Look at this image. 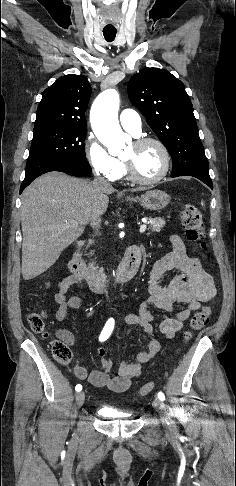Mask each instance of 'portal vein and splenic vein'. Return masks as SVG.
Listing matches in <instances>:
<instances>
[{
  "mask_svg": "<svg viewBox=\"0 0 236 486\" xmlns=\"http://www.w3.org/2000/svg\"><path fill=\"white\" fill-rule=\"evenodd\" d=\"M73 225H77V223H75V222H74V223H73ZM145 230H146V224L141 225V226H140V230H139V231H140V233H144V232H145Z\"/></svg>",
  "mask_w": 236,
  "mask_h": 486,
  "instance_id": "18ae733b",
  "label": "portal vein and splenic vein"
}]
</instances>
